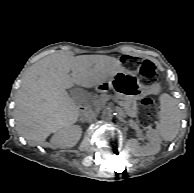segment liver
<instances>
[{
  "label": "liver",
  "mask_w": 194,
  "mask_h": 193,
  "mask_svg": "<svg viewBox=\"0 0 194 193\" xmlns=\"http://www.w3.org/2000/svg\"><path fill=\"white\" fill-rule=\"evenodd\" d=\"M120 70L121 62L107 55L54 53L42 58L25 73L16 95L18 132L31 146L49 147L46 138L76 122L80 115L66 90L74 84L97 87Z\"/></svg>",
  "instance_id": "liver-1"
}]
</instances>
